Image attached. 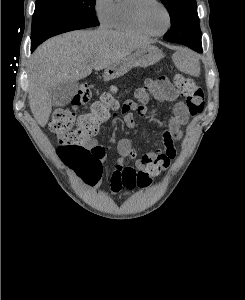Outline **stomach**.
<instances>
[{"mask_svg": "<svg viewBox=\"0 0 245 300\" xmlns=\"http://www.w3.org/2000/svg\"><path fill=\"white\" fill-rule=\"evenodd\" d=\"M163 58V53L155 46H145L138 48L134 53L128 55L124 59L106 68L104 72L105 79H115L131 68L148 67L156 64Z\"/></svg>", "mask_w": 245, "mask_h": 300, "instance_id": "1", "label": "stomach"}]
</instances>
